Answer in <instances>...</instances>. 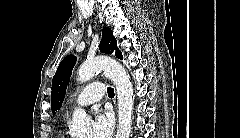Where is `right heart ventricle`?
Returning <instances> with one entry per match:
<instances>
[{
	"instance_id": "e07e8e85",
	"label": "right heart ventricle",
	"mask_w": 240,
	"mask_h": 138,
	"mask_svg": "<svg viewBox=\"0 0 240 138\" xmlns=\"http://www.w3.org/2000/svg\"><path fill=\"white\" fill-rule=\"evenodd\" d=\"M58 138H74V137L68 135L64 130H60L58 133Z\"/></svg>"
}]
</instances>
